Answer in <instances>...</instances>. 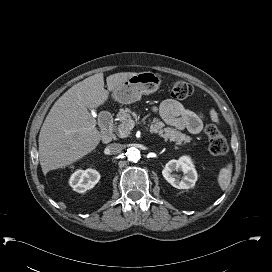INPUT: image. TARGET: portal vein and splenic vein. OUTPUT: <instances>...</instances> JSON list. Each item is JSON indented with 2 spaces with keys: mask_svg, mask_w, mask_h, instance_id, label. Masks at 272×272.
Instances as JSON below:
<instances>
[{
  "mask_svg": "<svg viewBox=\"0 0 272 272\" xmlns=\"http://www.w3.org/2000/svg\"><path fill=\"white\" fill-rule=\"evenodd\" d=\"M134 126H135V122H134L133 120H130V121L128 122V127H129V129L131 130Z\"/></svg>",
  "mask_w": 272,
  "mask_h": 272,
  "instance_id": "18ae733b",
  "label": "portal vein and splenic vein"
}]
</instances>
